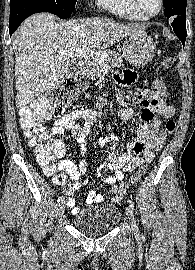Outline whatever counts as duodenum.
I'll use <instances>...</instances> for the list:
<instances>
[{
  "instance_id": "1",
  "label": "duodenum",
  "mask_w": 195,
  "mask_h": 270,
  "mask_svg": "<svg viewBox=\"0 0 195 270\" xmlns=\"http://www.w3.org/2000/svg\"><path fill=\"white\" fill-rule=\"evenodd\" d=\"M84 72H85V67H84V65H80L79 68H78V73H79L80 75H82V74H84Z\"/></svg>"
}]
</instances>
